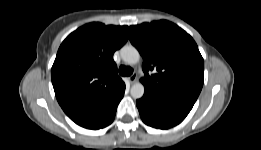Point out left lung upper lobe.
<instances>
[{"instance_id":"left-lung-upper-lobe-1","label":"left lung upper lobe","mask_w":261,"mask_h":150,"mask_svg":"<svg viewBox=\"0 0 261 150\" xmlns=\"http://www.w3.org/2000/svg\"><path fill=\"white\" fill-rule=\"evenodd\" d=\"M130 30V41L143 57L145 90L195 102L203 86L204 60L193 38L166 20L131 26ZM152 70L155 73L149 75Z\"/></svg>"}]
</instances>
